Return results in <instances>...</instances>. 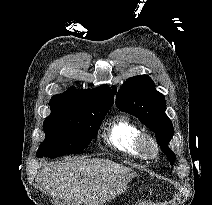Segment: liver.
<instances>
[{
  "mask_svg": "<svg viewBox=\"0 0 212 205\" xmlns=\"http://www.w3.org/2000/svg\"><path fill=\"white\" fill-rule=\"evenodd\" d=\"M41 174L59 205H103L121 194L136 176L129 168L102 159L52 163Z\"/></svg>",
  "mask_w": 212,
  "mask_h": 205,
  "instance_id": "6515ba94",
  "label": "liver"
}]
</instances>
